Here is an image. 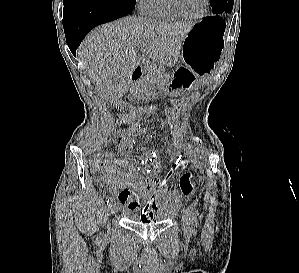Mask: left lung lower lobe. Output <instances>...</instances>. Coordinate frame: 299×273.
<instances>
[{"label": "left lung lower lobe", "mask_w": 299, "mask_h": 273, "mask_svg": "<svg viewBox=\"0 0 299 273\" xmlns=\"http://www.w3.org/2000/svg\"><path fill=\"white\" fill-rule=\"evenodd\" d=\"M232 11V10H231ZM231 11H227V12H225V13H229V12H231Z\"/></svg>", "instance_id": "left-lung-lower-lobe-1"}]
</instances>
